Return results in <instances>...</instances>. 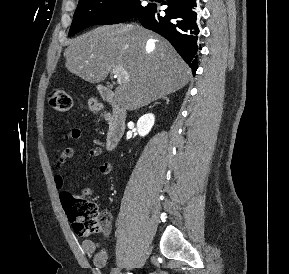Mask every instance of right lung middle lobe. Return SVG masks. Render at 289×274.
Segmentation results:
<instances>
[{
  "label": "right lung middle lobe",
  "instance_id": "right-lung-middle-lobe-1",
  "mask_svg": "<svg viewBox=\"0 0 289 274\" xmlns=\"http://www.w3.org/2000/svg\"><path fill=\"white\" fill-rule=\"evenodd\" d=\"M112 4L118 8L111 7ZM147 6H142L138 0H80L69 36L92 25L117 24L130 18H137Z\"/></svg>",
  "mask_w": 289,
  "mask_h": 274
}]
</instances>
